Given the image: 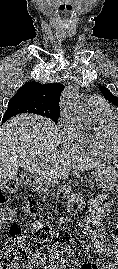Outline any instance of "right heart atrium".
<instances>
[{
	"label": "right heart atrium",
	"mask_w": 118,
	"mask_h": 269,
	"mask_svg": "<svg viewBox=\"0 0 118 269\" xmlns=\"http://www.w3.org/2000/svg\"><path fill=\"white\" fill-rule=\"evenodd\" d=\"M61 126L70 142L75 146L79 144L86 135L85 131L78 126L77 121L70 115H62Z\"/></svg>",
	"instance_id": "obj_1"
}]
</instances>
